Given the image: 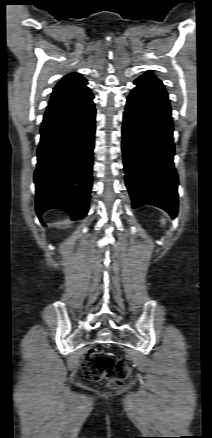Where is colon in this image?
Returning a JSON list of instances; mask_svg holds the SVG:
<instances>
[{"label":"colon","mask_w":212,"mask_h":438,"mask_svg":"<svg viewBox=\"0 0 212 438\" xmlns=\"http://www.w3.org/2000/svg\"><path fill=\"white\" fill-rule=\"evenodd\" d=\"M83 373L89 380L105 379L111 387H119L130 376V367L111 353L92 349L83 363Z\"/></svg>","instance_id":"obj_1"}]
</instances>
